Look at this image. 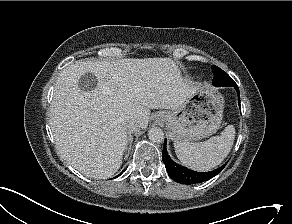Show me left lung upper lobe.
Returning a JSON list of instances; mask_svg holds the SVG:
<instances>
[{
	"mask_svg": "<svg viewBox=\"0 0 292 224\" xmlns=\"http://www.w3.org/2000/svg\"><path fill=\"white\" fill-rule=\"evenodd\" d=\"M212 71L214 73V78H213V85L215 86H224L223 84L228 83L229 81L227 80V73H225L222 69L219 67L213 65L212 66ZM229 76V75H228ZM230 77V76H229ZM231 78V77H230ZM232 79V78H231Z\"/></svg>",
	"mask_w": 292,
	"mask_h": 224,
	"instance_id": "1",
	"label": "left lung upper lobe"
}]
</instances>
